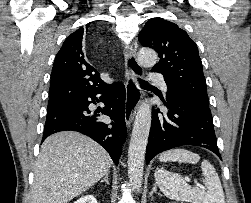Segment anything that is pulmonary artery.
I'll list each match as a JSON object with an SVG mask.
<instances>
[{
    "label": "pulmonary artery",
    "mask_w": 251,
    "mask_h": 203,
    "mask_svg": "<svg viewBox=\"0 0 251 203\" xmlns=\"http://www.w3.org/2000/svg\"><path fill=\"white\" fill-rule=\"evenodd\" d=\"M149 77L153 82L159 84L164 90L167 89L166 81H165L164 76L162 74L151 73Z\"/></svg>",
    "instance_id": "e3ab8cb5"
}]
</instances>
